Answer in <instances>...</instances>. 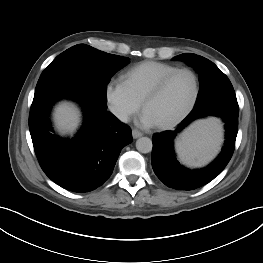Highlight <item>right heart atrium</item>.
I'll return each instance as SVG.
<instances>
[{
  "label": "right heart atrium",
  "mask_w": 263,
  "mask_h": 263,
  "mask_svg": "<svg viewBox=\"0 0 263 263\" xmlns=\"http://www.w3.org/2000/svg\"><path fill=\"white\" fill-rule=\"evenodd\" d=\"M104 97L108 110L120 122H127L141 107L121 79L112 78L106 83Z\"/></svg>",
  "instance_id": "obj_1"
}]
</instances>
